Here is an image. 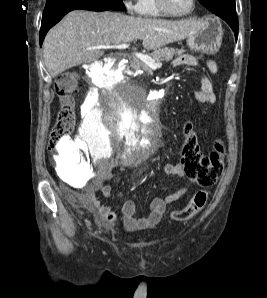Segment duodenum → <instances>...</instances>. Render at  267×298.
Wrapping results in <instances>:
<instances>
[{
    "label": "duodenum",
    "instance_id": "1",
    "mask_svg": "<svg viewBox=\"0 0 267 298\" xmlns=\"http://www.w3.org/2000/svg\"><path fill=\"white\" fill-rule=\"evenodd\" d=\"M120 65L124 68L126 66V62L121 61ZM123 78L127 79L128 75L124 74ZM106 86L107 87H116L117 83L116 82H107ZM141 97L145 98L146 94L142 93ZM158 103H160V98H146V100H143V105H148V107H147L148 115H155V112H160V109H164V104H158Z\"/></svg>",
    "mask_w": 267,
    "mask_h": 298
}]
</instances>
